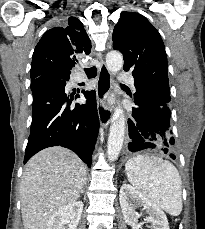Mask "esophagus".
I'll return each instance as SVG.
<instances>
[{
  "mask_svg": "<svg viewBox=\"0 0 205 229\" xmlns=\"http://www.w3.org/2000/svg\"><path fill=\"white\" fill-rule=\"evenodd\" d=\"M100 63L98 83H97V111L101 125L107 128L111 121V108L106 103V98L112 89V79L107 68L102 53L96 54Z\"/></svg>",
  "mask_w": 205,
  "mask_h": 229,
  "instance_id": "1",
  "label": "esophagus"
}]
</instances>
